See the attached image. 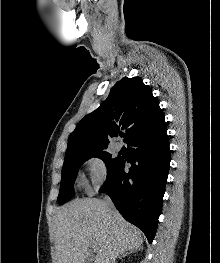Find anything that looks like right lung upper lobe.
<instances>
[{
    "label": "right lung upper lobe",
    "instance_id": "1",
    "mask_svg": "<svg viewBox=\"0 0 220 263\" xmlns=\"http://www.w3.org/2000/svg\"><path fill=\"white\" fill-rule=\"evenodd\" d=\"M166 129L164 113L151 88L139 77H124L100 107L79 122L69 136L66 154L105 149L109 137L120 130H126L127 144L142 134L158 135Z\"/></svg>",
    "mask_w": 220,
    "mask_h": 263
}]
</instances>
